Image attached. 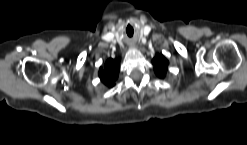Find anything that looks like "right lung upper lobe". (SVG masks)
I'll use <instances>...</instances> for the list:
<instances>
[{"label":"right lung upper lobe","mask_w":247,"mask_h":145,"mask_svg":"<svg viewBox=\"0 0 247 145\" xmlns=\"http://www.w3.org/2000/svg\"><path fill=\"white\" fill-rule=\"evenodd\" d=\"M119 62V59H109L106 61L105 67L100 68L99 77L104 84L110 87L114 85L119 73Z\"/></svg>","instance_id":"cb5924a9"}]
</instances>
